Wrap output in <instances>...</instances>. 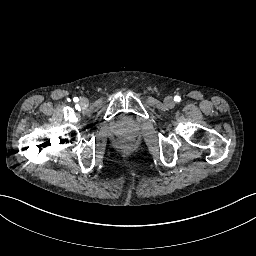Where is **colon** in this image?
<instances>
[{"label":"colon","mask_w":256,"mask_h":256,"mask_svg":"<svg viewBox=\"0 0 256 256\" xmlns=\"http://www.w3.org/2000/svg\"><path fill=\"white\" fill-rule=\"evenodd\" d=\"M119 146H120V148H122L123 151H125V152H129V151H131V149H132V144H131V142L125 141V140L120 141Z\"/></svg>","instance_id":"obj_1"}]
</instances>
